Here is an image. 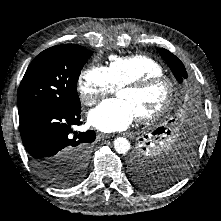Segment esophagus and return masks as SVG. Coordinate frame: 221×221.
I'll use <instances>...</instances> for the list:
<instances>
[{
	"label": "esophagus",
	"instance_id": "1",
	"mask_svg": "<svg viewBox=\"0 0 221 221\" xmlns=\"http://www.w3.org/2000/svg\"><path fill=\"white\" fill-rule=\"evenodd\" d=\"M98 137H100L102 139H107V138H110V135H108V134H99Z\"/></svg>",
	"mask_w": 221,
	"mask_h": 221
}]
</instances>
